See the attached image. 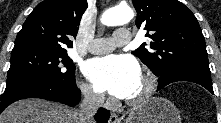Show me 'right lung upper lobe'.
<instances>
[{
  "instance_id": "1",
  "label": "right lung upper lobe",
  "mask_w": 221,
  "mask_h": 123,
  "mask_svg": "<svg viewBox=\"0 0 221 123\" xmlns=\"http://www.w3.org/2000/svg\"><path fill=\"white\" fill-rule=\"evenodd\" d=\"M86 0H44L30 13L18 32L12 51L30 48L66 50L73 47Z\"/></svg>"
}]
</instances>
